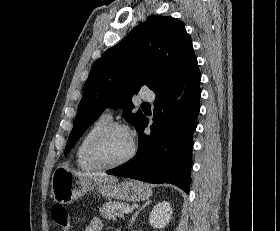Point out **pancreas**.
<instances>
[{
    "label": "pancreas",
    "mask_w": 280,
    "mask_h": 231,
    "mask_svg": "<svg viewBox=\"0 0 280 231\" xmlns=\"http://www.w3.org/2000/svg\"><path fill=\"white\" fill-rule=\"evenodd\" d=\"M128 205L129 203H120V201H106L103 207H100V213L104 219H116V217H123L124 213L120 209Z\"/></svg>",
    "instance_id": "1"
}]
</instances>
